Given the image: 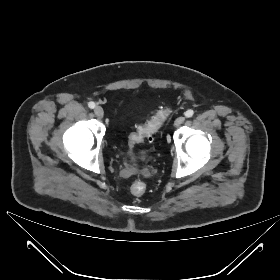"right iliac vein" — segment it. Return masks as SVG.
<instances>
[{
    "label": "right iliac vein",
    "mask_w": 280,
    "mask_h": 280,
    "mask_svg": "<svg viewBox=\"0 0 280 280\" xmlns=\"http://www.w3.org/2000/svg\"><path fill=\"white\" fill-rule=\"evenodd\" d=\"M94 113L97 117L102 118L104 115L103 108L101 106H96L94 109Z\"/></svg>",
    "instance_id": "1"
}]
</instances>
